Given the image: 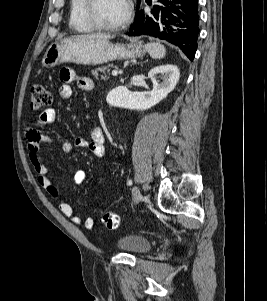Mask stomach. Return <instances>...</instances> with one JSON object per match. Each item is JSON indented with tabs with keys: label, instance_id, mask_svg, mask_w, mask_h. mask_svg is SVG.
<instances>
[{
	"label": "stomach",
	"instance_id": "1",
	"mask_svg": "<svg viewBox=\"0 0 267 301\" xmlns=\"http://www.w3.org/2000/svg\"><path fill=\"white\" fill-rule=\"evenodd\" d=\"M147 49L141 42L127 45L113 44L105 39L75 40L66 38L51 44L45 52L42 65L52 68L62 63L99 65L117 59L139 58Z\"/></svg>",
	"mask_w": 267,
	"mask_h": 301
}]
</instances>
